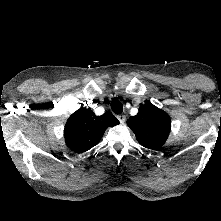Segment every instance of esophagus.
Returning <instances> with one entry per match:
<instances>
[{"label": "esophagus", "mask_w": 221, "mask_h": 221, "mask_svg": "<svg viewBox=\"0 0 221 221\" xmlns=\"http://www.w3.org/2000/svg\"><path fill=\"white\" fill-rule=\"evenodd\" d=\"M117 118L122 124L126 121V116L124 114L118 115Z\"/></svg>", "instance_id": "esophagus-1"}]
</instances>
